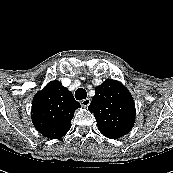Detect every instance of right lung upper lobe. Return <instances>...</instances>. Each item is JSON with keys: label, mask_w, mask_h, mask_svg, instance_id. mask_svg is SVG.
Here are the masks:
<instances>
[{"label": "right lung upper lobe", "mask_w": 173, "mask_h": 173, "mask_svg": "<svg viewBox=\"0 0 173 173\" xmlns=\"http://www.w3.org/2000/svg\"><path fill=\"white\" fill-rule=\"evenodd\" d=\"M80 104L59 81H51L39 91L32 102V122L45 137H63L71 127V120Z\"/></svg>", "instance_id": "cb5924a9"}]
</instances>
